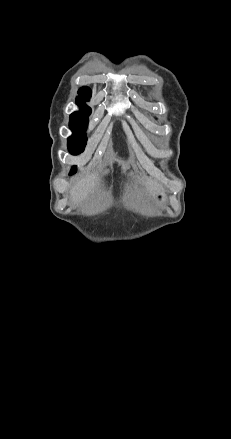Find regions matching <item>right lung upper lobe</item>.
Returning <instances> with one entry per match:
<instances>
[{
	"instance_id": "right-lung-upper-lobe-1",
	"label": "right lung upper lobe",
	"mask_w": 231,
	"mask_h": 439,
	"mask_svg": "<svg viewBox=\"0 0 231 439\" xmlns=\"http://www.w3.org/2000/svg\"><path fill=\"white\" fill-rule=\"evenodd\" d=\"M78 97L76 98V102L79 106H81V110L80 112H75L73 114H90L91 113V109L89 107H87L84 103V101H89L90 96H91V90L88 87H82L79 91H78Z\"/></svg>"
}]
</instances>
